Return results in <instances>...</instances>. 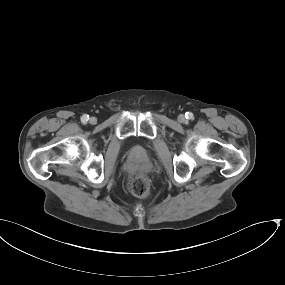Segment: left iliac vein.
<instances>
[{
    "label": "left iliac vein",
    "mask_w": 285,
    "mask_h": 285,
    "mask_svg": "<svg viewBox=\"0 0 285 285\" xmlns=\"http://www.w3.org/2000/svg\"><path fill=\"white\" fill-rule=\"evenodd\" d=\"M178 121L181 122V123H183V122L185 121V116H184L183 114H180V115L178 116Z\"/></svg>",
    "instance_id": "left-iliac-vein-1"
}]
</instances>
